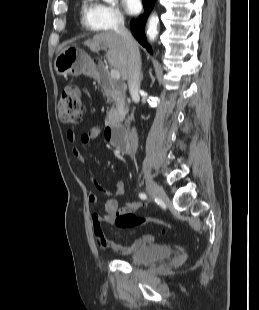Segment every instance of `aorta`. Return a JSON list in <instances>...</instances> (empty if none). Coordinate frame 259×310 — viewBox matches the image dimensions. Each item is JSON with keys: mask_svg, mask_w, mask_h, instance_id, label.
<instances>
[{"mask_svg": "<svg viewBox=\"0 0 259 310\" xmlns=\"http://www.w3.org/2000/svg\"><path fill=\"white\" fill-rule=\"evenodd\" d=\"M107 3H113L115 0H103ZM158 23H159V19L157 15H151V17L149 18L148 21V29H147V36L151 41H154L157 37L158 34Z\"/></svg>", "mask_w": 259, "mask_h": 310, "instance_id": "obj_1", "label": "aorta"}]
</instances>
